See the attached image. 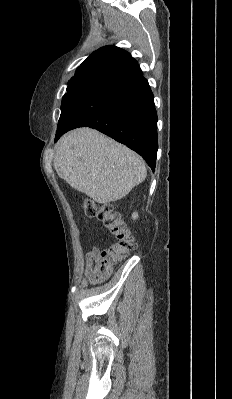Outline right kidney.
<instances>
[{
    "instance_id": "1",
    "label": "right kidney",
    "mask_w": 232,
    "mask_h": 399,
    "mask_svg": "<svg viewBox=\"0 0 232 399\" xmlns=\"http://www.w3.org/2000/svg\"><path fill=\"white\" fill-rule=\"evenodd\" d=\"M132 217H133V219H136V217H138V213H137V211H133V213H132Z\"/></svg>"
}]
</instances>
